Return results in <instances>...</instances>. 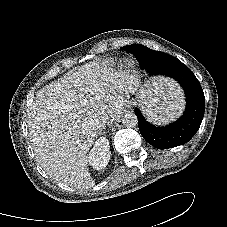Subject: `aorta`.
<instances>
[{"instance_id":"aorta-1","label":"aorta","mask_w":227,"mask_h":227,"mask_svg":"<svg viewBox=\"0 0 227 227\" xmlns=\"http://www.w3.org/2000/svg\"><path fill=\"white\" fill-rule=\"evenodd\" d=\"M113 116L115 119L118 118L119 120H121L122 124L129 128L134 127L138 124L137 116L132 112H126L122 115L115 113Z\"/></svg>"}]
</instances>
